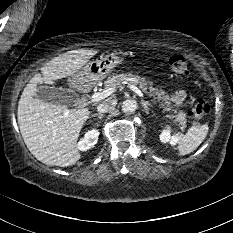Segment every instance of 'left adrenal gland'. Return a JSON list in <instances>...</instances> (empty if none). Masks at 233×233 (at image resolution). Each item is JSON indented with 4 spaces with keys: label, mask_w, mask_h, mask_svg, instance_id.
Returning a JSON list of instances; mask_svg holds the SVG:
<instances>
[{
    "label": "left adrenal gland",
    "mask_w": 233,
    "mask_h": 233,
    "mask_svg": "<svg viewBox=\"0 0 233 233\" xmlns=\"http://www.w3.org/2000/svg\"><path fill=\"white\" fill-rule=\"evenodd\" d=\"M141 104H142V106H143V108H144V111H145V113L148 115L149 114V103H147V102H145V101H141Z\"/></svg>",
    "instance_id": "obj_1"
}]
</instances>
